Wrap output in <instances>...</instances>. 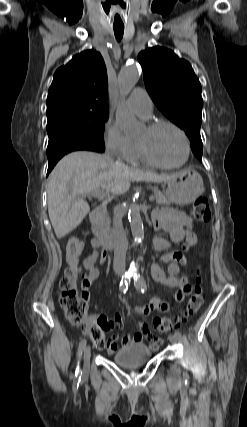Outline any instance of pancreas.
Instances as JSON below:
<instances>
[{
    "label": "pancreas",
    "instance_id": "pancreas-1",
    "mask_svg": "<svg viewBox=\"0 0 247 427\" xmlns=\"http://www.w3.org/2000/svg\"><path fill=\"white\" fill-rule=\"evenodd\" d=\"M154 197L156 199V203L159 205L170 203V200L163 193H161L158 190L154 191ZM102 223L105 226V229L108 230L109 226H110V219L106 213H104V215L102 217Z\"/></svg>",
    "mask_w": 247,
    "mask_h": 427
}]
</instances>
